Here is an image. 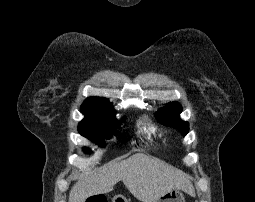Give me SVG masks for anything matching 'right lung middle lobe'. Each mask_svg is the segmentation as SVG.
Segmentation results:
<instances>
[{"instance_id": "right-lung-middle-lobe-1", "label": "right lung middle lobe", "mask_w": 255, "mask_h": 202, "mask_svg": "<svg viewBox=\"0 0 255 202\" xmlns=\"http://www.w3.org/2000/svg\"><path fill=\"white\" fill-rule=\"evenodd\" d=\"M113 123V124H112ZM119 127V123L115 119V114L103 119H83L78 126L79 133L100 145H105L104 138L108 139L115 128ZM88 151V149H86Z\"/></svg>"}]
</instances>
